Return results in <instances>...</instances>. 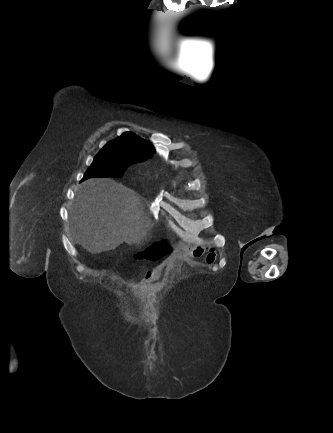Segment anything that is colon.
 Segmentation results:
<instances>
[{
	"mask_svg": "<svg viewBox=\"0 0 333 433\" xmlns=\"http://www.w3.org/2000/svg\"><path fill=\"white\" fill-rule=\"evenodd\" d=\"M174 246L175 243L169 237H166L164 240H157L155 244H148L144 252L147 263L158 265L161 262L160 258H167L171 255L170 251ZM134 254L139 258L143 253L138 249Z\"/></svg>",
	"mask_w": 333,
	"mask_h": 433,
	"instance_id": "1",
	"label": "colon"
}]
</instances>
